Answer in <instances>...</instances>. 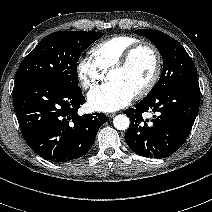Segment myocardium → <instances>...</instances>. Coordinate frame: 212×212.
Returning <instances> with one entry per match:
<instances>
[{
    "mask_svg": "<svg viewBox=\"0 0 212 212\" xmlns=\"http://www.w3.org/2000/svg\"><path fill=\"white\" fill-rule=\"evenodd\" d=\"M142 49H148L153 53L155 59V68L149 81L134 94L136 98H142L149 94L160 78L163 61L160 51L154 44L150 42H138L134 44L128 50H126L122 57L108 70L107 73V76L109 77L112 72L124 70L127 68L135 54Z\"/></svg>",
    "mask_w": 212,
    "mask_h": 212,
    "instance_id": "myocardium-1",
    "label": "myocardium"
}]
</instances>
